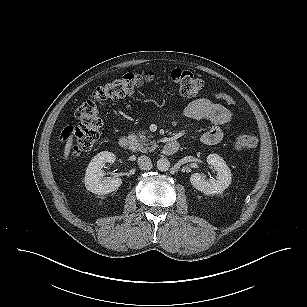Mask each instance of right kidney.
Returning <instances> with one entry per match:
<instances>
[{"instance_id": "ca27d5eb", "label": "right kidney", "mask_w": 307, "mask_h": 307, "mask_svg": "<svg viewBox=\"0 0 307 307\" xmlns=\"http://www.w3.org/2000/svg\"><path fill=\"white\" fill-rule=\"evenodd\" d=\"M115 154L102 151L98 153L89 163L85 173V187L94 194L105 195L116 191L122 184L121 178H105L102 170L105 163H114Z\"/></svg>"}]
</instances>
